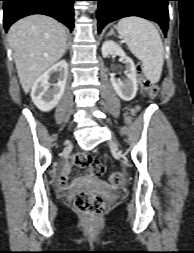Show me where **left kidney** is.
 Here are the masks:
<instances>
[{"mask_svg":"<svg viewBox=\"0 0 194 253\" xmlns=\"http://www.w3.org/2000/svg\"><path fill=\"white\" fill-rule=\"evenodd\" d=\"M113 54L120 55L121 58L124 60L126 79L121 81L120 79L115 78L114 74H111L110 80L112 86L121 99L125 101H130L136 96L138 90L136 67L134 65L133 60L130 57L126 56V54L118 44L111 40L105 41L102 45L103 57L106 58Z\"/></svg>","mask_w":194,"mask_h":253,"instance_id":"1","label":"left kidney"}]
</instances>
